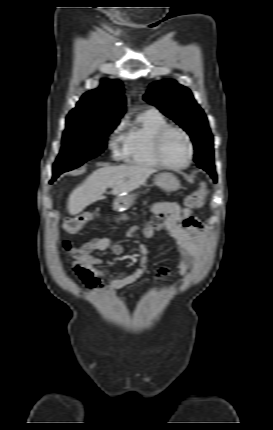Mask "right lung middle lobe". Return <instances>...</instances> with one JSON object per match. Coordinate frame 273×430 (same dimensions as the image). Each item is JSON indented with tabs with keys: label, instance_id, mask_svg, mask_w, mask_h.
<instances>
[{
	"label": "right lung middle lobe",
	"instance_id": "obj_1",
	"mask_svg": "<svg viewBox=\"0 0 273 430\" xmlns=\"http://www.w3.org/2000/svg\"><path fill=\"white\" fill-rule=\"evenodd\" d=\"M119 121L86 119L68 115L63 133L62 149L53 166V176L70 171L106 148L107 136Z\"/></svg>",
	"mask_w": 273,
	"mask_h": 430
}]
</instances>
